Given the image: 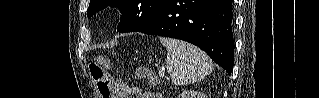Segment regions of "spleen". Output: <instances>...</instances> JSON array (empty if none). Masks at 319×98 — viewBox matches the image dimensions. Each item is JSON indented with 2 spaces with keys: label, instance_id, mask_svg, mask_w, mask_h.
I'll use <instances>...</instances> for the list:
<instances>
[{
  "label": "spleen",
  "instance_id": "1",
  "mask_svg": "<svg viewBox=\"0 0 319 98\" xmlns=\"http://www.w3.org/2000/svg\"><path fill=\"white\" fill-rule=\"evenodd\" d=\"M167 49L166 68L175 85H188L208 76L213 62L199 48L171 38H160Z\"/></svg>",
  "mask_w": 319,
  "mask_h": 98
}]
</instances>
